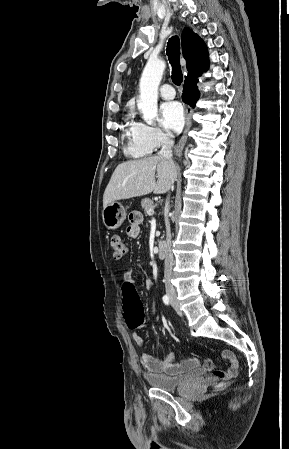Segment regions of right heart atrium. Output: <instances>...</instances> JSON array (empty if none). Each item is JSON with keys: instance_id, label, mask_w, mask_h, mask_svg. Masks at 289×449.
Wrapping results in <instances>:
<instances>
[{"instance_id": "d8ad5b80", "label": "right heart atrium", "mask_w": 289, "mask_h": 449, "mask_svg": "<svg viewBox=\"0 0 289 449\" xmlns=\"http://www.w3.org/2000/svg\"><path fill=\"white\" fill-rule=\"evenodd\" d=\"M136 137L149 151L156 150L168 143V135L159 127L144 122L136 123Z\"/></svg>"}]
</instances>
